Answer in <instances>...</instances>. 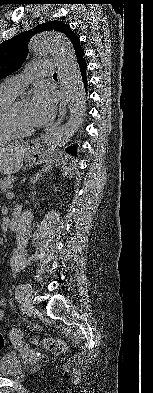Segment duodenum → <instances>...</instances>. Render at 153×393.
Returning a JSON list of instances; mask_svg holds the SVG:
<instances>
[{"mask_svg": "<svg viewBox=\"0 0 153 393\" xmlns=\"http://www.w3.org/2000/svg\"><path fill=\"white\" fill-rule=\"evenodd\" d=\"M19 217H20V213L15 211L8 223V227L10 230L14 231L16 229H18L19 227Z\"/></svg>", "mask_w": 153, "mask_h": 393, "instance_id": "obj_1", "label": "duodenum"}]
</instances>
